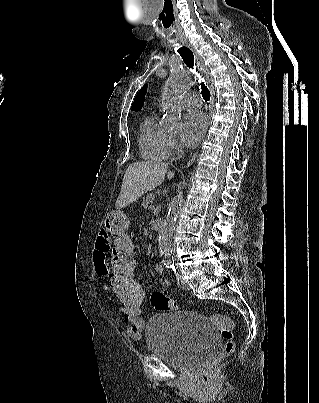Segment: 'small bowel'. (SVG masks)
<instances>
[{
    "mask_svg": "<svg viewBox=\"0 0 319 403\" xmlns=\"http://www.w3.org/2000/svg\"><path fill=\"white\" fill-rule=\"evenodd\" d=\"M110 250V238L105 230H102L97 238L93 260L95 268L99 276L104 277V287H113V270L108 268V253ZM118 252V250H116ZM155 271L157 273L163 272V266L156 264ZM162 288L166 289L170 287V281L164 280L161 283ZM113 294V291H109ZM145 298V291H142ZM119 311H121L127 321V333L134 340H140L142 337V331L144 328V321L141 319V313H124L123 305L120 304Z\"/></svg>",
    "mask_w": 319,
    "mask_h": 403,
    "instance_id": "small-bowel-1",
    "label": "small bowel"
}]
</instances>
